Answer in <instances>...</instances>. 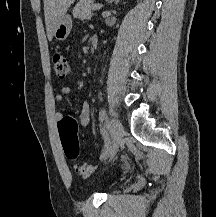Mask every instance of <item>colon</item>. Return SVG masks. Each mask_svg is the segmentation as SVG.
I'll return each instance as SVG.
<instances>
[{
	"instance_id": "obj_1",
	"label": "colon",
	"mask_w": 216,
	"mask_h": 217,
	"mask_svg": "<svg viewBox=\"0 0 216 217\" xmlns=\"http://www.w3.org/2000/svg\"><path fill=\"white\" fill-rule=\"evenodd\" d=\"M53 70L57 77L65 78L70 71V60L61 53L53 56ZM78 123L74 118L64 117L59 123V135L61 138L65 157L68 160H76L79 155L77 140ZM76 172L82 177L91 176L95 168L89 164H79L75 167Z\"/></svg>"
}]
</instances>
